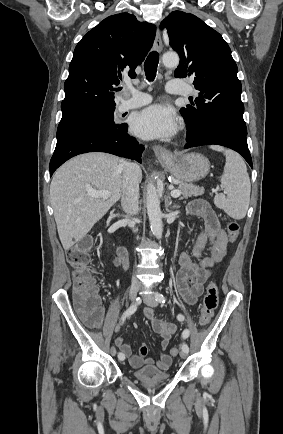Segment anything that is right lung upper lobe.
Segmentation results:
<instances>
[{
	"label": "right lung upper lobe",
	"mask_w": 283,
	"mask_h": 434,
	"mask_svg": "<svg viewBox=\"0 0 283 434\" xmlns=\"http://www.w3.org/2000/svg\"><path fill=\"white\" fill-rule=\"evenodd\" d=\"M156 26L132 14L107 17L77 44L64 84L62 118L115 109L114 93L122 73L135 68L152 47Z\"/></svg>",
	"instance_id": "right-lung-upper-lobe-1"
}]
</instances>
